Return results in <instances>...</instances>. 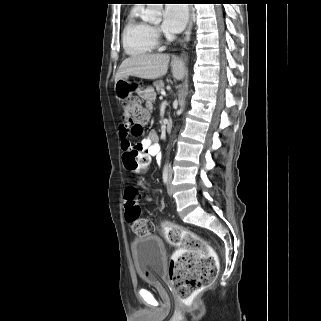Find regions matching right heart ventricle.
<instances>
[{
	"mask_svg": "<svg viewBox=\"0 0 321 321\" xmlns=\"http://www.w3.org/2000/svg\"><path fill=\"white\" fill-rule=\"evenodd\" d=\"M141 6H134L125 21L122 44L125 52L133 57L153 52L157 47L154 29L139 16Z\"/></svg>",
	"mask_w": 321,
	"mask_h": 321,
	"instance_id": "1",
	"label": "right heart ventricle"
}]
</instances>
